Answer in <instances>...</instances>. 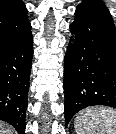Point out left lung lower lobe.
<instances>
[{
  "label": "left lung lower lobe",
  "mask_w": 116,
  "mask_h": 134,
  "mask_svg": "<svg viewBox=\"0 0 116 134\" xmlns=\"http://www.w3.org/2000/svg\"><path fill=\"white\" fill-rule=\"evenodd\" d=\"M75 34L65 55V126L83 108H116V29L110 13L95 6L76 8Z\"/></svg>",
  "instance_id": "left-lung-lower-lobe-1"
}]
</instances>
